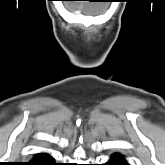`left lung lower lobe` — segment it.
<instances>
[{
  "label": "left lung lower lobe",
  "instance_id": "obj_1",
  "mask_svg": "<svg viewBox=\"0 0 165 165\" xmlns=\"http://www.w3.org/2000/svg\"><path fill=\"white\" fill-rule=\"evenodd\" d=\"M105 165H128L121 155L114 154Z\"/></svg>",
  "mask_w": 165,
  "mask_h": 165
}]
</instances>
